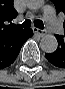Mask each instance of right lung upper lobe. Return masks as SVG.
Instances as JSON below:
<instances>
[{
	"label": "right lung upper lobe",
	"instance_id": "right-lung-upper-lobe-1",
	"mask_svg": "<svg viewBox=\"0 0 65 89\" xmlns=\"http://www.w3.org/2000/svg\"><path fill=\"white\" fill-rule=\"evenodd\" d=\"M16 16L13 0H0V36L21 30L11 23Z\"/></svg>",
	"mask_w": 65,
	"mask_h": 89
}]
</instances>
